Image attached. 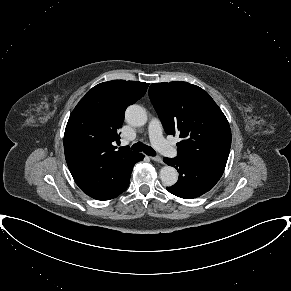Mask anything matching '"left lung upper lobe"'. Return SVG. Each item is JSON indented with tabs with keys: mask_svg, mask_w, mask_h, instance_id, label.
Here are the masks:
<instances>
[{
	"mask_svg": "<svg viewBox=\"0 0 291 291\" xmlns=\"http://www.w3.org/2000/svg\"><path fill=\"white\" fill-rule=\"evenodd\" d=\"M149 97L168 135H179L177 157L225 163L229 123L210 95L187 82L153 83Z\"/></svg>",
	"mask_w": 291,
	"mask_h": 291,
	"instance_id": "left-lung-upper-lobe-1",
	"label": "left lung upper lobe"
}]
</instances>
